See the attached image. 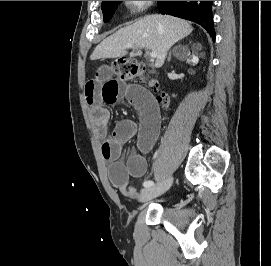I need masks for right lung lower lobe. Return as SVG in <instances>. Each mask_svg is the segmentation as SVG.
<instances>
[{
    "mask_svg": "<svg viewBox=\"0 0 271 266\" xmlns=\"http://www.w3.org/2000/svg\"><path fill=\"white\" fill-rule=\"evenodd\" d=\"M213 1H158L162 14H169L200 24L215 40L212 14Z\"/></svg>",
    "mask_w": 271,
    "mask_h": 266,
    "instance_id": "right-lung-lower-lobe-1",
    "label": "right lung lower lobe"
}]
</instances>
